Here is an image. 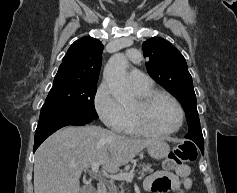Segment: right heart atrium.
<instances>
[{"instance_id":"right-heart-atrium-1","label":"right heart atrium","mask_w":237,"mask_h":193,"mask_svg":"<svg viewBox=\"0 0 237 193\" xmlns=\"http://www.w3.org/2000/svg\"><path fill=\"white\" fill-rule=\"evenodd\" d=\"M94 107L101 121L110 129L121 132L125 115L124 108L111 93L106 83H101L94 95Z\"/></svg>"}]
</instances>
